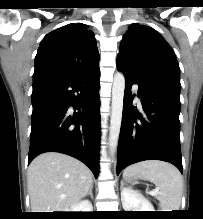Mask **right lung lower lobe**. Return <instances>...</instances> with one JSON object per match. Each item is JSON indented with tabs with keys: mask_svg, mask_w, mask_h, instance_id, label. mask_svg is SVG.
<instances>
[{
	"mask_svg": "<svg viewBox=\"0 0 203 219\" xmlns=\"http://www.w3.org/2000/svg\"><path fill=\"white\" fill-rule=\"evenodd\" d=\"M100 69L33 80L28 164L56 151L85 163L98 177L100 143Z\"/></svg>",
	"mask_w": 203,
	"mask_h": 219,
	"instance_id": "right-lung-lower-lobe-1",
	"label": "right lung lower lobe"
}]
</instances>
